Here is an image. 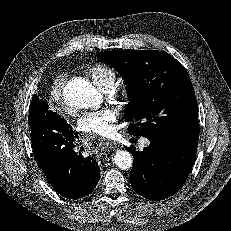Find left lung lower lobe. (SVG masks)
<instances>
[{
	"instance_id": "obj_1",
	"label": "left lung lower lobe",
	"mask_w": 231,
	"mask_h": 231,
	"mask_svg": "<svg viewBox=\"0 0 231 231\" xmlns=\"http://www.w3.org/2000/svg\"><path fill=\"white\" fill-rule=\"evenodd\" d=\"M199 135L176 140L148 138L142 152L126 147L133 154L130 181L135 192L149 200H163L176 193L186 181L195 162Z\"/></svg>"
}]
</instances>
